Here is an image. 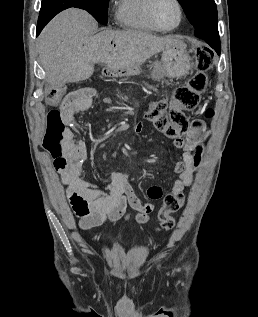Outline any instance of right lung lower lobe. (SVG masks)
I'll use <instances>...</instances> for the list:
<instances>
[{"label":"right lung lower lobe","mask_w":258,"mask_h":317,"mask_svg":"<svg viewBox=\"0 0 258 317\" xmlns=\"http://www.w3.org/2000/svg\"><path fill=\"white\" fill-rule=\"evenodd\" d=\"M70 7L84 9L93 15L88 0H42L36 36L56 14Z\"/></svg>","instance_id":"98d812e1"}]
</instances>
